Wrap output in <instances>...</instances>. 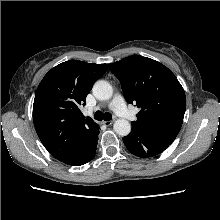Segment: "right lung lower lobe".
I'll use <instances>...</instances> for the list:
<instances>
[{"mask_svg": "<svg viewBox=\"0 0 220 220\" xmlns=\"http://www.w3.org/2000/svg\"><path fill=\"white\" fill-rule=\"evenodd\" d=\"M98 134H99V132H98ZM98 134L80 152H78L74 157L65 161L64 163H66L68 165H72V166H80V165L86 164L89 161H91L95 157V154H96Z\"/></svg>", "mask_w": 220, "mask_h": 220, "instance_id": "1", "label": "right lung lower lobe"}]
</instances>
